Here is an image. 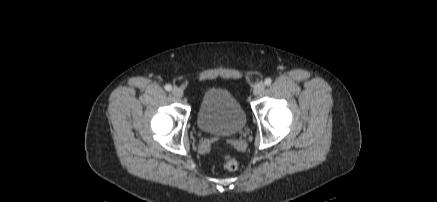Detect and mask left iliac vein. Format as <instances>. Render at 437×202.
<instances>
[{
	"label": "left iliac vein",
	"instance_id": "obj_1",
	"mask_svg": "<svg viewBox=\"0 0 437 202\" xmlns=\"http://www.w3.org/2000/svg\"><path fill=\"white\" fill-rule=\"evenodd\" d=\"M265 89V84L264 82H258L253 89V94L255 96L260 95Z\"/></svg>",
	"mask_w": 437,
	"mask_h": 202
}]
</instances>
